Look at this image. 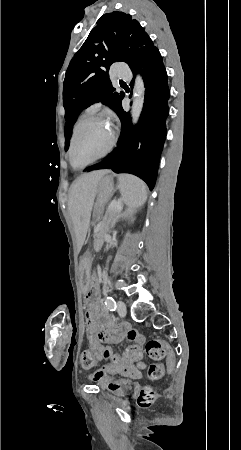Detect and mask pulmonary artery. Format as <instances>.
<instances>
[{
  "label": "pulmonary artery",
  "mask_w": 241,
  "mask_h": 450,
  "mask_svg": "<svg viewBox=\"0 0 241 450\" xmlns=\"http://www.w3.org/2000/svg\"><path fill=\"white\" fill-rule=\"evenodd\" d=\"M113 71L116 73V78L121 84H130L134 78V73L132 71H124L122 64H115Z\"/></svg>",
  "instance_id": "obj_1"
}]
</instances>
